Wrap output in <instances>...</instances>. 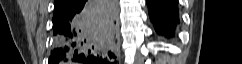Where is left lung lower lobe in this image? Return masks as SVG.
I'll return each mask as SVG.
<instances>
[{"mask_svg":"<svg viewBox=\"0 0 242 64\" xmlns=\"http://www.w3.org/2000/svg\"><path fill=\"white\" fill-rule=\"evenodd\" d=\"M147 5L156 32L172 38L180 23L178 0H147Z\"/></svg>","mask_w":242,"mask_h":64,"instance_id":"1","label":"left lung lower lobe"}]
</instances>
